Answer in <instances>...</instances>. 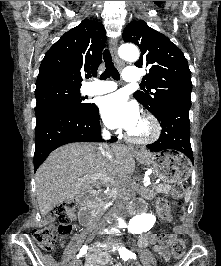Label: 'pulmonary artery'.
I'll list each match as a JSON object with an SVG mask.
<instances>
[{"mask_svg":"<svg viewBox=\"0 0 221 266\" xmlns=\"http://www.w3.org/2000/svg\"><path fill=\"white\" fill-rule=\"evenodd\" d=\"M143 72L137 66H128L123 74V78L126 82L137 83L142 79ZM116 84L110 81L99 82L95 86L89 88L87 93L89 95H101L111 92L116 89Z\"/></svg>","mask_w":221,"mask_h":266,"instance_id":"1","label":"pulmonary artery"}]
</instances>
